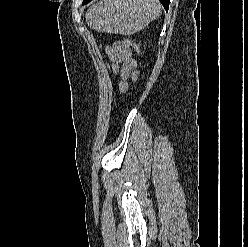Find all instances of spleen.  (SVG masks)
<instances>
[{"label": "spleen", "instance_id": "spleen-1", "mask_svg": "<svg viewBox=\"0 0 248 247\" xmlns=\"http://www.w3.org/2000/svg\"><path fill=\"white\" fill-rule=\"evenodd\" d=\"M158 0H104L90 7L86 22L102 33L131 35L161 14Z\"/></svg>", "mask_w": 248, "mask_h": 247}]
</instances>
